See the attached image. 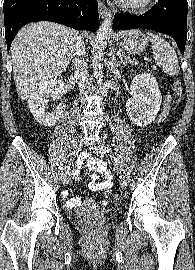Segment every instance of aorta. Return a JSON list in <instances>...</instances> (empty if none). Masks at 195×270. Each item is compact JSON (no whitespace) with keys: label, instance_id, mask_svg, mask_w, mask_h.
Returning a JSON list of instances; mask_svg holds the SVG:
<instances>
[{"label":"aorta","instance_id":"obj_1","mask_svg":"<svg viewBox=\"0 0 195 270\" xmlns=\"http://www.w3.org/2000/svg\"><path fill=\"white\" fill-rule=\"evenodd\" d=\"M112 31V20L106 18L99 26L97 35L95 38V50L92 60L94 76L97 79L98 84L103 81L102 61L104 58V49L106 45V39Z\"/></svg>","mask_w":195,"mask_h":270}]
</instances>
